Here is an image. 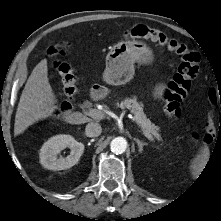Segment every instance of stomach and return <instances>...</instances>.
<instances>
[{
	"mask_svg": "<svg viewBox=\"0 0 221 221\" xmlns=\"http://www.w3.org/2000/svg\"><path fill=\"white\" fill-rule=\"evenodd\" d=\"M153 60L152 51L140 41H121L117 43L106 56V68L103 79L110 85H123L134 75V63L147 64ZM165 86L158 85L154 95L161 97Z\"/></svg>",
	"mask_w": 221,
	"mask_h": 221,
	"instance_id": "obj_1",
	"label": "stomach"
}]
</instances>
